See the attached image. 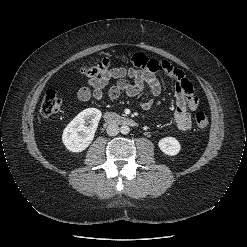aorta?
Returning <instances> with one entry per match:
<instances>
[{
	"mask_svg": "<svg viewBox=\"0 0 247 247\" xmlns=\"http://www.w3.org/2000/svg\"><path fill=\"white\" fill-rule=\"evenodd\" d=\"M120 131L122 134H128L130 131V128L126 125L121 126Z\"/></svg>",
	"mask_w": 247,
	"mask_h": 247,
	"instance_id": "aorta-1",
	"label": "aorta"
}]
</instances>
